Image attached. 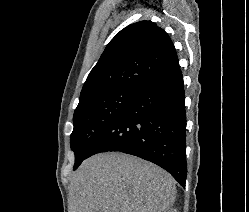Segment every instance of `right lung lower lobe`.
Here are the masks:
<instances>
[{
	"label": "right lung lower lobe",
	"instance_id": "1",
	"mask_svg": "<svg viewBox=\"0 0 249 212\" xmlns=\"http://www.w3.org/2000/svg\"><path fill=\"white\" fill-rule=\"evenodd\" d=\"M186 113L180 68L140 91L92 145L87 158L119 151L151 161L185 187Z\"/></svg>",
	"mask_w": 249,
	"mask_h": 212
}]
</instances>
